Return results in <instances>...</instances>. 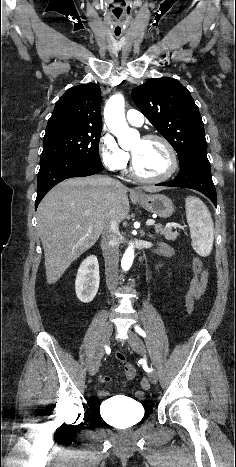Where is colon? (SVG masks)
Wrapping results in <instances>:
<instances>
[{"instance_id":"1","label":"colon","mask_w":236,"mask_h":467,"mask_svg":"<svg viewBox=\"0 0 236 467\" xmlns=\"http://www.w3.org/2000/svg\"><path fill=\"white\" fill-rule=\"evenodd\" d=\"M203 269H204L203 262L199 258H195L193 260V272H194L195 277H198L202 273ZM186 307H187L188 312H192L194 309V300L190 294H188L186 298ZM118 358L120 360H123L125 357L123 354L119 353ZM131 373L132 372L130 371L129 374ZM142 386L145 388L148 387V383L145 379L142 381ZM137 396L139 398H143L144 394L143 392L139 391L137 392Z\"/></svg>"}]
</instances>
